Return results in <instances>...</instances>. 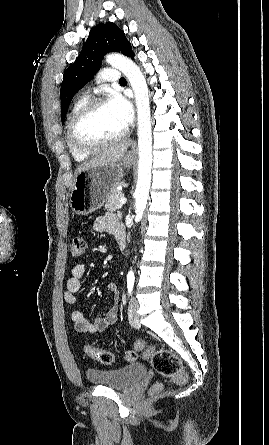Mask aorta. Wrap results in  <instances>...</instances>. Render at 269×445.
<instances>
[{"label":"aorta","instance_id":"1","mask_svg":"<svg viewBox=\"0 0 269 445\" xmlns=\"http://www.w3.org/2000/svg\"><path fill=\"white\" fill-rule=\"evenodd\" d=\"M106 62L119 69L129 80L137 106L138 179L135 190L136 217L142 218L149 197L152 166V127L150 118L149 90L139 67L120 54H109ZM129 274H133L132 271Z\"/></svg>","mask_w":269,"mask_h":445}]
</instances>
